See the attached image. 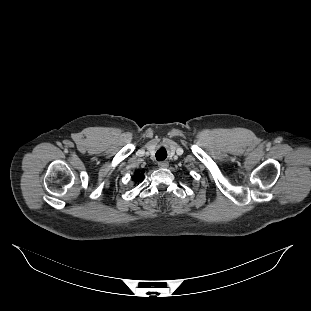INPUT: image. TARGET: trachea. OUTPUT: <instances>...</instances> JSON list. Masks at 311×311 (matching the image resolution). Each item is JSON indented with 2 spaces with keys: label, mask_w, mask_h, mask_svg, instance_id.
Instances as JSON below:
<instances>
[{
  "label": "trachea",
  "mask_w": 311,
  "mask_h": 311,
  "mask_svg": "<svg viewBox=\"0 0 311 311\" xmlns=\"http://www.w3.org/2000/svg\"><path fill=\"white\" fill-rule=\"evenodd\" d=\"M166 157H167V152L164 148H161L156 152V159L158 161H164V159H166Z\"/></svg>",
  "instance_id": "trachea-1"
}]
</instances>
